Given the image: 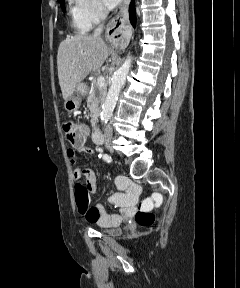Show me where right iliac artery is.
I'll use <instances>...</instances> for the list:
<instances>
[{
  "label": "right iliac artery",
  "mask_w": 240,
  "mask_h": 288,
  "mask_svg": "<svg viewBox=\"0 0 240 288\" xmlns=\"http://www.w3.org/2000/svg\"><path fill=\"white\" fill-rule=\"evenodd\" d=\"M103 160L110 163L112 161V158H111L110 155L104 154L103 155Z\"/></svg>",
  "instance_id": "right-iliac-artery-1"
}]
</instances>
